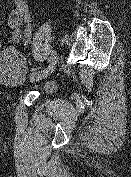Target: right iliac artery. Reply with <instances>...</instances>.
<instances>
[{
    "label": "right iliac artery",
    "mask_w": 131,
    "mask_h": 177,
    "mask_svg": "<svg viewBox=\"0 0 131 177\" xmlns=\"http://www.w3.org/2000/svg\"><path fill=\"white\" fill-rule=\"evenodd\" d=\"M55 57V51L51 50L50 53L47 54V59L44 60L45 65L43 66V69H41V72H44V70H48L51 67V61L54 60Z\"/></svg>",
    "instance_id": "right-iliac-artery-1"
}]
</instances>
